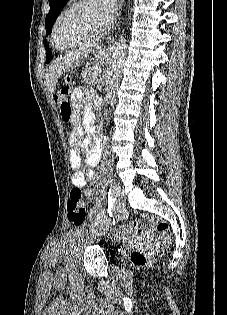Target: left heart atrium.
<instances>
[{"label": "left heart atrium", "instance_id": "1", "mask_svg": "<svg viewBox=\"0 0 227 315\" xmlns=\"http://www.w3.org/2000/svg\"><path fill=\"white\" fill-rule=\"evenodd\" d=\"M103 13L106 20V25L112 20V17L117 9V0H95Z\"/></svg>", "mask_w": 227, "mask_h": 315}]
</instances>
